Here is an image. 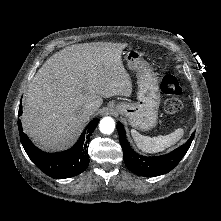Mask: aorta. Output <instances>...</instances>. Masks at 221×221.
<instances>
[{"label":"aorta","mask_w":221,"mask_h":221,"mask_svg":"<svg viewBox=\"0 0 221 221\" xmlns=\"http://www.w3.org/2000/svg\"><path fill=\"white\" fill-rule=\"evenodd\" d=\"M99 129L103 134H111L115 129V121L111 117H104L99 123Z\"/></svg>","instance_id":"obj_1"}]
</instances>
